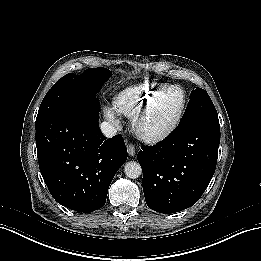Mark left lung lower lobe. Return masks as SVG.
Listing matches in <instances>:
<instances>
[{
    "label": "left lung lower lobe",
    "mask_w": 261,
    "mask_h": 261,
    "mask_svg": "<svg viewBox=\"0 0 261 261\" xmlns=\"http://www.w3.org/2000/svg\"><path fill=\"white\" fill-rule=\"evenodd\" d=\"M218 120L198 119L179 125L164 141L138 152L146 204L160 213L192 206L216 168Z\"/></svg>",
    "instance_id": "0a47b994"
}]
</instances>
